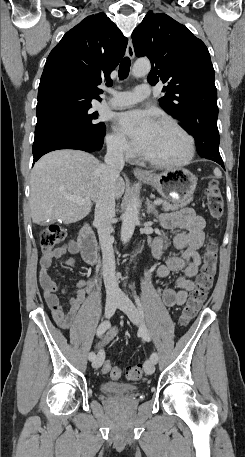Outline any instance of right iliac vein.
<instances>
[{
  "label": "right iliac vein",
  "mask_w": 245,
  "mask_h": 457,
  "mask_svg": "<svg viewBox=\"0 0 245 457\" xmlns=\"http://www.w3.org/2000/svg\"><path fill=\"white\" fill-rule=\"evenodd\" d=\"M118 301H119V297H117V296L109 297L106 300V304H105L106 317H111L113 315V313L116 310ZM104 359H105L104 352L102 350H100L98 352L97 357L94 359L92 366L96 369L99 368L102 365Z\"/></svg>",
  "instance_id": "63e3f726"
}]
</instances>
